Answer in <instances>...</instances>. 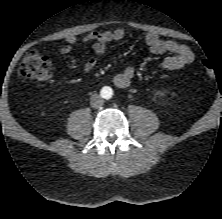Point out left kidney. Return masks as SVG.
<instances>
[{"mask_svg":"<svg viewBox=\"0 0 222 219\" xmlns=\"http://www.w3.org/2000/svg\"><path fill=\"white\" fill-rule=\"evenodd\" d=\"M156 95H158L159 97H163L164 93L162 91H158V92H156Z\"/></svg>","mask_w":222,"mask_h":219,"instance_id":"obj_1","label":"left kidney"}]
</instances>
